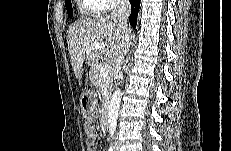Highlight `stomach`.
Returning <instances> with one entry per match:
<instances>
[{
    "label": "stomach",
    "mask_w": 231,
    "mask_h": 151,
    "mask_svg": "<svg viewBox=\"0 0 231 151\" xmlns=\"http://www.w3.org/2000/svg\"><path fill=\"white\" fill-rule=\"evenodd\" d=\"M97 94L94 90L88 89L81 94L80 107L85 113L92 112L96 105Z\"/></svg>",
    "instance_id": "1"
}]
</instances>
